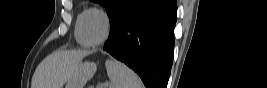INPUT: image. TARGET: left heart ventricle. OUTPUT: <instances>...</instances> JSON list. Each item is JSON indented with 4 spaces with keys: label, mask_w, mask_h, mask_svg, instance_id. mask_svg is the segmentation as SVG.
Wrapping results in <instances>:
<instances>
[{
    "label": "left heart ventricle",
    "mask_w": 267,
    "mask_h": 88,
    "mask_svg": "<svg viewBox=\"0 0 267 88\" xmlns=\"http://www.w3.org/2000/svg\"><path fill=\"white\" fill-rule=\"evenodd\" d=\"M85 37L90 42L99 41L105 32V23L98 15L91 14L86 18L84 26Z\"/></svg>",
    "instance_id": "1"
}]
</instances>
